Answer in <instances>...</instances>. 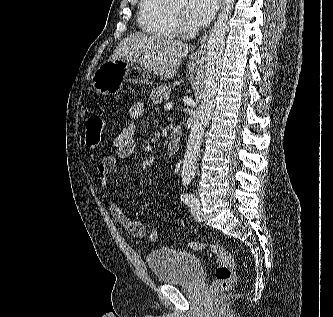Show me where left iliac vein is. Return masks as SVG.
<instances>
[{
	"label": "left iliac vein",
	"instance_id": "1",
	"mask_svg": "<svg viewBox=\"0 0 333 317\" xmlns=\"http://www.w3.org/2000/svg\"><path fill=\"white\" fill-rule=\"evenodd\" d=\"M192 210V215L193 217L201 222L204 220V217H203V213H202V210H201V204L199 202V200L197 201V203L191 208Z\"/></svg>",
	"mask_w": 333,
	"mask_h": 317
}]
</instances>
